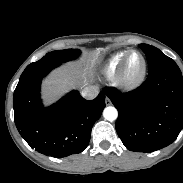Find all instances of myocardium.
<instances>
[{
  "label": "myocardium",
  "instance_id": "obj_1",
  "mask_svg": "<svg viewBox=\"0 0 183 183\" xmlns=\"http://www.w3.org/2000/svg\"><path fill=\"white\" fill-rule=\"evenodd\" d=\"M136 54L140 57L141 66L138 72L132 76H129L126 72L129 58ZM147 72V61L144 55L138 50H130L122 60L117 72L115 74V84L123 90H132L137 88L145 79Z\"/></svg>",
  "mask_w": 183,
  "mask_h": 183
}]
</instances>
